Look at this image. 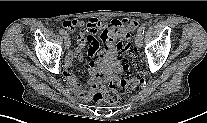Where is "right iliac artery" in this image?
Listing matches in <instances>:
<instances>
[{
	"instance_id": "82829eb1",
	"label": "right iliac artery",
	"mask_w": 207,
	"mask_h": 123,
	"mask_svg": "<svg viewBox=\"0 0 207 123\" xmlns=\"http://www.w3.org/2000/svg\"><path fill=\"white\" fill-rule=\"evenodd\" d=\"M60 34L63 35L64 37L67 35L66 31H64L63 29H60Z\"/></svg>"
}]
</instances>
